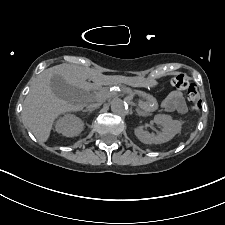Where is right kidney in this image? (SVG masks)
<instances>
[{
  "label": "right kidney",
  "instance_id": "obj_1",
  "mask_svg": "<svg viewBox=\"0 0 225 225\" xmlns=\"http://www.w3.org/2000/svg\"><path fill=\"white\" fill-rule=\"evenodd\" d=\"M83 129V121L73 114L63 116L55 124V130L66 137L78 136Z\"/></svg>",
  "mask_w": 225,
  "mask_h": 225
}]
</instances>
